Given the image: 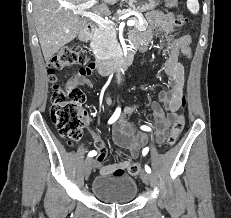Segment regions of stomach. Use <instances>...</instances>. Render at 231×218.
<instances>
[{"label":"stomach","instance_id":"obj_1","mask_svg":"<svg viewBox=\"0 0 231 218\" xmlns=\"http://www.w3.org/2000/svg\"><path fill=\"white\" fill-rule=\"evenodd\" d=\"M159 0H129V6L137 12H145L154 9Z\"/></svg>","mask_w":231,"mask_h":218}]
</instances>
